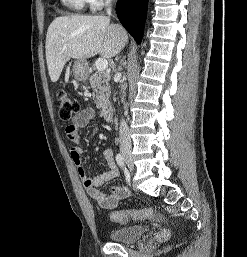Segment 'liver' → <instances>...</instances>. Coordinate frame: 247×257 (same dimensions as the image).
Returning <instances> with one entry per match:
<instances>
[{
    "label": "liver",
    "mask_w": 247,
    "mask_h": 257,
    "mask_svg": "<svg viewBox=\"0 0 247 257\" xmlns=\"http://www.w3.org/2000/svg\"><path fill=\"white\" fill-rule=\"evenodd\" d=\"M125 30L110 24L107 16H60L48 27L46 60L50 79L57 82L70 59L85 60L100 54L103 58L117 55L127 42Z\"/></svg>",
    "instance_id": "6515ba94"
}]
</instances>
